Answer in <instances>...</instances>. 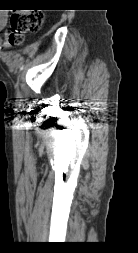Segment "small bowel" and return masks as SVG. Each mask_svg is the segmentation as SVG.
Returning <instances> with one entry per match:
<instances>
[{
    "label": "small bowel",
    "instance_id": "small-bowel-1",
    "mask_svg": "<svg viewBox=\"0 0 138 253\" xmlns=\"http://www.w3.org/2000/svg\"><path fill=\"white\" fill-rule=\"evenodd\" d=\"M7 26V15L5 13H0V34L5 35V29ZM9 46L6 38L0 36V50L5 49Z\"/></svg>",
    "mask_w": 138,
    "mask_h": 253
}]
</instances>
